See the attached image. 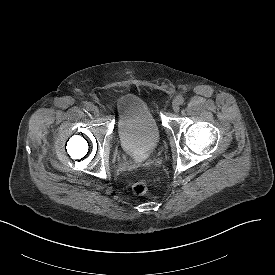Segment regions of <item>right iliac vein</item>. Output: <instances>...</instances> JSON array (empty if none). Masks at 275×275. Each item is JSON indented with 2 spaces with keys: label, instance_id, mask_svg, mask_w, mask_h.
I'll use <instances>...</instances> for the list:
<instances>
[{
  "label": "right iliac vein",
  "instance_id": "obj_1",
  "mask_svg": "<svg viewBox=\"0 0 275 275\" xmlns=\"http://www.w3.org/2000/svg\"><path fill=\"white\" fill-rule=\"evenodd\" d=\"M92 112L94 115H99V109L96 106L92 107Z\"/></svg>",
  "mask_w": 275,
  "mask_h": 275
}]
</instances>
